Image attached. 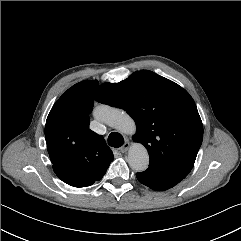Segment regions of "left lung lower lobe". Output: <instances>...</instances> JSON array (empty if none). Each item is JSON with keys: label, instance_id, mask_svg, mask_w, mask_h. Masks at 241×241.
<instances>
[{"label": "left lung lower lobe", "instance_id": "0a47b994", "mask_svg": "<svg viewBox=\"0 0 241 241\" xmlns=\"http://www.w3.org/2000/svg\"><path fill=\"white\" fill-rule=\"evenodd\" d=\"M136 177L142 184L156 191L170 189L184 179L153 168L136 173Z\"/></svg>", "mask_w": 241, "mask_h": 241}]
</instances>
